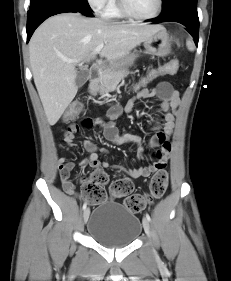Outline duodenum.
I'll use <instances>...</instances> for the list:
<instances>
[{
	"label": "duodenum",
	"mask_w": 231,
	"mask_h": 281,
	"mask_svg": "<svg viewBox=\"0 0 231 281\" xmlns=\"http://www.w3.org/2000/svg\"><path fill=\"white\" fill-rule=\"evenodd\" d=\"M102 74V69L100 68H94L93 69V72H92V78H91V81L94 82L96 81L99 76Z\"/></svg>",
	"instance_id": "obj_1"
}]
</instances>
